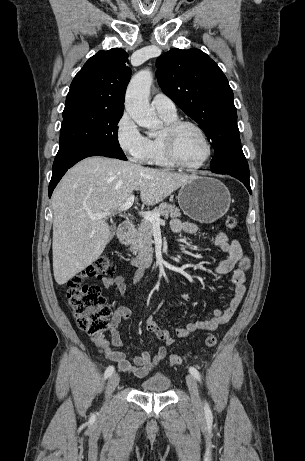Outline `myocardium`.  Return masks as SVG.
Segmentation results:
<instances>
[{
	"mask_svg": "<svg viewBox=\"0 0 305 461\" xmlns=\"http://www.w3.org/2000/svg\"><path fill=\"white\" fill-rule=\"evenodd\" d=\"M184 127H191L198 132L206 146L205 157L197 164L190 165L183 162L176 151V140L180 130ZM165 156L174 166L185 170H197L202 168L212 155V144L205 131L195 122L189 120H175L166 125L161 137Z\"/></svg>",
	"mask_w": 305,
	"mask_h": 461,
	"instance_id": "obj_1",
	"label": "myocardium"
}]
</instances>
